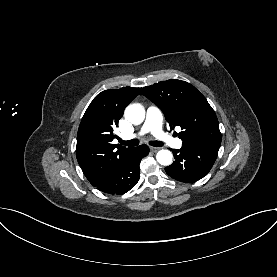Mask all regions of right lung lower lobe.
<instances>
[{"label":"right lung lower lobe","instance_id":"right-lung-lower-lobe-1","mask_svg":"<svg viewBox=\"0 0 277 277\" xmlns=\"http://www.w3.org/2000/svg\"><path fill=\"white\" fill-rule=\"evenodd\" d=\"M148 153L149 148L146 145L133 148L110 175L95 185V187L111 195L128 192L138 182L140 178L139 163Z\"/></svg>","mask_w":277,"mask_h":277}]
</instances>
